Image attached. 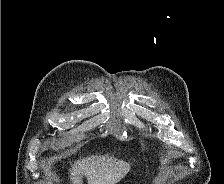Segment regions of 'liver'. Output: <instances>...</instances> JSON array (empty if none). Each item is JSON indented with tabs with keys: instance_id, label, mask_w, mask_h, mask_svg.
<instances>
[{
	"instance_id": "1",
	"label": "liver",
	"mask_w": 224,
	"mask_h": 184,
	"mask_svg": "<svg viewBox=\"0 0 224 184\" xmlns=\"http://www.w3.org/2000/svg\"><path fill=\"white\" fill-rule=\"evenodd\" d=\"M130 168V163L108 155L91 156L71 165L70 180L72 184H82L84 175L88 184H116L127 175Z\"/></svg>"
}]
</instances>
